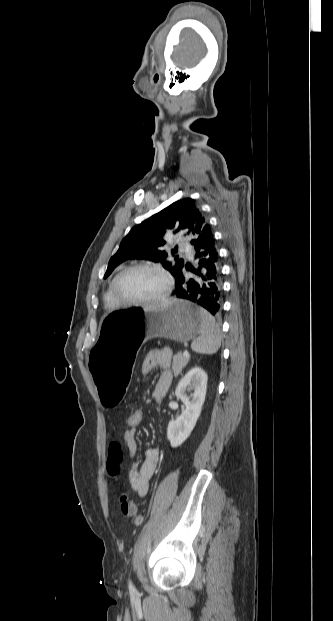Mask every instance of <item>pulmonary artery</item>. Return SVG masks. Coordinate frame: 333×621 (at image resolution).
<instances>
[{
	"instance_id": "pulmonary-artery-1",
	"label": "pulmonary artery",
	"mask_w": 333,
	"mask_h": 621,
	"mask_svg": "<svg viewBox=\"0 0 333 621\" xmlns=\"http://www.w3.org/2000/svg\"><path fill=\"white\" fill-rule=\"evenodd\" d=\"M179 247H180V249H184L185 245L183 243H179Z\"/></svg>"
}]
</instances>
